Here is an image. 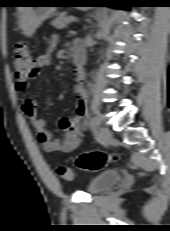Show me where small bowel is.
I'll return each mask as SVG.
<instances>
[{
	"label": "small bowel",
	"mask_w": 170,
	"mask_h": 231,
	"mask_svg": "<svg viewBox=\"0 0 170 231\" xmlns=\"http://www.w3.org/2000/svg\"><path fill=\"white\" fill-rule=\"evenodd\" d=\"M58 37H53L50 42L49 51L40 55L37 60V75L50 64V51L56 45ZM75 50H79L76 47ZM36 75V76H37ZM76 85L74 91L77 94L78 105L75 117H64L61 119L57 129L50 130L47 128L46 121L37 114V101L30 96V87L27 82H18L16 90L23 96V113L30 119L32 128L37 136L42 149L46 153H70L74 151L82 142L83 133L81 127V119L86 114L87 94L84 89V72L75 69ZM61 135V137H58Z\"/></svg>",
	"instance_id": "obj_1"
}]
</instances>
